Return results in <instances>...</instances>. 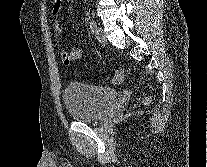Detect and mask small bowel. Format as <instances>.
I'll return each instance as SVG.
<instances>
[{"mask_svg":"<svg viewBox=\"0 0 207 167\" xmlns=\"http://www.w3.org/2000/svg\"><path fill=\"white\" fill-rule=\"evenodd\" d=\"M62 6V0H53V20H52V27L54 30V33L57 36H60L62 34L63 28L59 20L57 19V15L61 9ZM85 53V49L76 47L72 48L70 50L63 49L61 51V59L64 63V65L69 66L72 62L79 60L83 57Z\"/></svg>","mask_w":207,"mask_h":167,"instance_id":"1","label":"small bowel"}]
</instances>
